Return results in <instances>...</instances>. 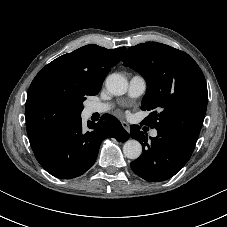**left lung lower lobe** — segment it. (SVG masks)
Segmentation results:
<instances>
[{"label":"left lung lower lobe","instance_id":"1","mask_svg":"<svg viewBox=\"0 0 227 227\" xmlns=\"http://www.w3.org/2000/svg\"><path fill=\"white\" fill-rule=\"evenodd\" d=\"M130 129V136L143 147L142 155L130 166L147 181L159 182L173 177L188 162L195 148L196 141L169 129H157V137L150 140L138 125Z\"/></svg>","mask_w":227,"mask_h":227}]
</instances>
